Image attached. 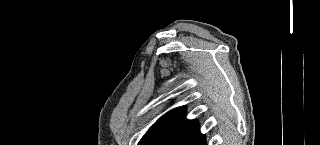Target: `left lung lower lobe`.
<instances>
[{"instance_id":"left-lung-lower-lobe-1","label":"left lung lower lobe","mask_w":320,"mask_h":145,"mask_svg":"<svg viewBox=\"0 0 320 145\" xmlns=\"http://www.w3.org/2000/svg\"><path fill=\"white\" fill-rule=\"evenodd\" d=\"M179 145H206L205 137L197 129L187 135Z\"/></svg>"}]
</instances>
